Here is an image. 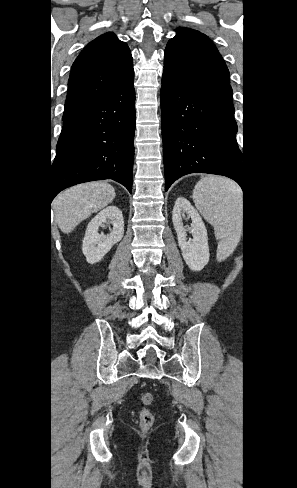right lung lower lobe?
I'll return each mask as SVG.
<instances>
[{
    "mask_svg": "<svg viewBox=\"0 0 297 488\" xmlns=\"http://www.w3.org/2000/svg\"><path fill=\"white\" fill-rule=\"evenodd\" d=\"M134 75L63 115L52 165L50 197L75 184L112 179L132 191Z\"/></svg>",
    "mask_w": 297,
    "mask_h": 488,
    "instance_id": "right-lung-lower-lobe-1",
    "label": "right lung lower lobe"
}]
</instances>
